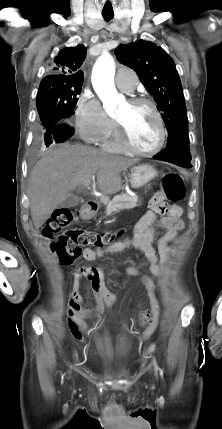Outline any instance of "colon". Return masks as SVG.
I'll use <instances>...</instances> for the list:
<instances>
[{
	"mask_svg": "<svg viewBox=\"0 0 222 429\" xmlns=\"http://www.w3.org/2000/svg\"><path fill=\"white\" fill-rule=\"evenodd\" d=\"M163 197L179 202L184 199L186 189L182 177L177 173H168L164 177V188L161 192ZM74 213L68 209L58 210L47 222L44 228V236L52 239L57 233L68 227L74 220ZM111 233H96L80 230H67L51 242L53 252L63 264H71L82 254L86 248H101L113 241ZM158 316L157 304L153 303L151 308L144 310L140 316L143 326H152Z\"/></svg>",
	"mask_w": 222,
	"mask_h": 429,
	"instance_id": "obj_1",
	"label": "colon"
}]
</instances>
